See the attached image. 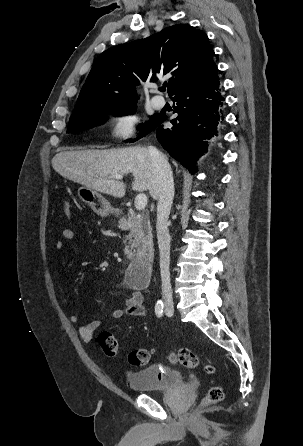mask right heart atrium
<instances>
[{
	"mask_svg": "<svg viewBox=\"0 0 303 446\" xmlns=\"http://www.w3.org/2000/svg\"><path fill=\"white\" fill-rule=\"evenodd\" d=\"M140 124V116L136 110H118L112 117L110 136L115 141L129 140L138 135Z\"/></svg>",
	"mask_w": 303,
	"mask_h": 446,
	"instance_id": "d8ad5b80",
	"label": "right heart atrium"
}]
</instances>
